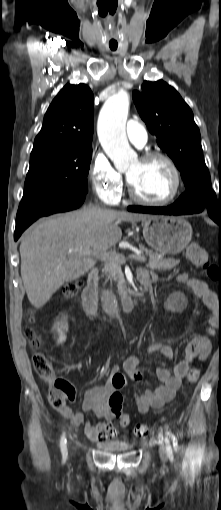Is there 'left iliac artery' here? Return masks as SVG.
Returning <instances> with one entry per match:
<instances>
[{"instance_id": "obj_1", "label": "left iliac artery", "mask_w": 221, "mask_h": 510, "mask_svg": "<svg viewBox=\"0 0 221 510\" xmlns=\"http://www.w3.org/2000/svg\"><path fill=\"white\" fill-rule=\"evenodd\" d=\"M167 435L171 436L172 441H173V447H174L175 449H177V447H178L177 438H176V437H175L172 433H170V432H167ZM166 443H167L166 448H167V450H169V449H170V446H169V440H168V438H166Z\"/></svg>"}]
</instances>
